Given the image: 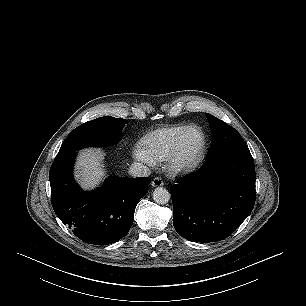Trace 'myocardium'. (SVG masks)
<instances>
[{
  "label": "myocardium",
  "mask_w": 306,
  "mask_h": 306,
  "mask_svg": "<svg viewBox=\"0 0 306 306\" xmlns=\"http://www.w3.org/2000/svg\"><path fill=\"white\" fill-rule=\"evenodd\" d=\"M196 130L201 135V146L197 152L188 154L184 150V141L190 131ZM207 150V136L197 125L185 127L179 135L174 149L168 158V169L174 175H185L193 172L202 162Z\"/></svg>",
  "instance_id": "1"
}]
</instances>
